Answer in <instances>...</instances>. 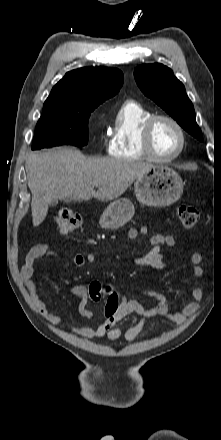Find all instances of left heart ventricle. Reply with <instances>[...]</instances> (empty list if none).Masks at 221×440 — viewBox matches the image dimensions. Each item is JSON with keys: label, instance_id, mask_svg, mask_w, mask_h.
Segmentation results:
<instances>
[{"label": "left heart ventricle", "instance_id": "1", "mask_svg": "<svg viewBox=\"0 0 221 440\" xmlns=\"http://www.w3.org/2000/svg\"><path fill=\"white\" fill-rule=\"evenodd\" d=\"M153 147L160 156L174 154L180 146V136L177 129L168 121H159L153 131Z\"/></svg>", "mask_w": 221, "mask_h": 440}]
</instances>
